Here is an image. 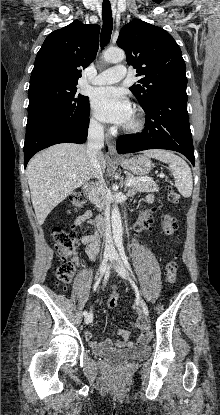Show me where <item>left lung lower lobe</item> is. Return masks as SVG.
I'll use <instances>...</instances> for the list:
<instances>
[{"label": "left lung lower lobe", "instance_id": "0a47b994", "mask_svg": "<svg viewBox=\"0 0 220 415\" xmlns=\"http://www.w3.org/2000/svg\"><path fill=\"white\" fill-rule=\"evenodd\" d=\"M186 89L159 93L142 107L146 125L140 134L118 138V153H133L147 149H168L185 155L194 166V148L187 112Z\"/></svg>", "mask_w": 220, "mask_h": 415}]
</instances>
